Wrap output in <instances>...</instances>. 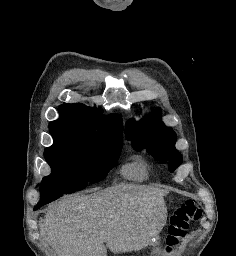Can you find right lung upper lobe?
Wrapping results in <instances>:
<instances>
[{
  "instance_id": "obj_1",
  "label": "right lung upper lobe",
  "mask_w": 236,
  "mask_h": 256,
  "mask_svg": "<svg viewBox=\"0 0 236 256\" xmlns=\"http://www.w3.org/2000/svg\"><path fill=\"white\" fill-rule=\"evenodd\" d=\"M60 119L50 122L51 133L69 132L89 138L123 142L122 121L118 115L100 120V112L83 104H64L59 107Z\"/></svg>"
}]
</instances>
